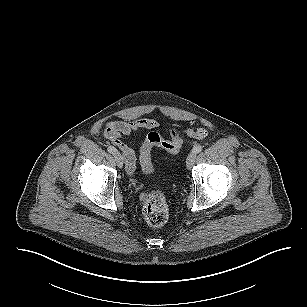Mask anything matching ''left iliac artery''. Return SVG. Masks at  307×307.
I'll list each match as a JSON object with an SVG mask.
<instances>
[{
	"label": "left iliac artery",
	"instance_id": "1",
	"mask_svg": "<svg viewBox=\"0 0 307 307\" xmlns=\"http://www.w3.org/2000/svg\"><path fill=\"white\" fill-rule=\"evenodd\" d=\"M203 150V147L201 145H196L193 147L192 152H194L195 154L201 152Z\"/></svg>",
	"mask_w": 307,
	"mask_h": 307
}]
</instances>
